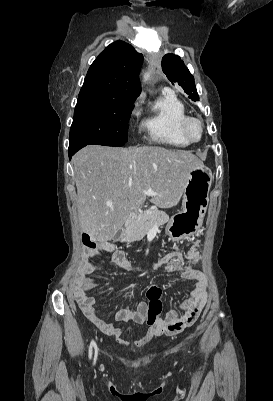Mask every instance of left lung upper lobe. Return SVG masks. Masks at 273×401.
Masks as SVG:
<instances>
[{"label": "left lung upper lobe", "mask_w": 273, "mask_h": 401, "mask_svg": "<svg viewBox=\"0 0 273 401\" xmlns=\"http://www.w3.org/2000/svg\"><path fill=\"white\" fill-rule=\"evenodd\" d=\"M162 70L172 83L176 82L183 88V90L189 95L190 99L193 101H199L194 77L191 75L179 56L166 54L162 58Z\"/></svg>", "instance_id": "obj_1"}]
</instances>
